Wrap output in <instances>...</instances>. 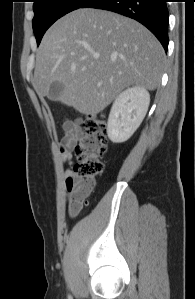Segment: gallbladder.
Listing matches in <instances>:
<instances>
[{
  "label": "gallbladder",
  "mask_w": 195,
  "mask_h": 299,
  "mask_svg": "<svg viewBox=\"0 0 195 299\" xmlns=\"http://www.w3.org/2000/svg\"><path fill=\"white\" fill-rule=\"evenodd\" d=\"M64 90V86L59 82H54L50 86L49 96L52 100H54L62 91Z\"/></svg>",
  "instance_id": "bac80fb5"
}]
</instances>
